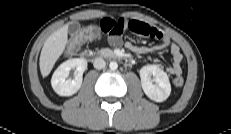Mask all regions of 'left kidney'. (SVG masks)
I'll use <instances>...</instances> for the list:
<instances>
[{"label": "left kidney", "mask_w": 231, "mask_h": 134, "mask_svg": "<svg viewBox=\"0 0 231 134\" xmlns=\"http://www.w3.org/2000/svg\"><path fill=\"white\" fill-rule=\"evenodd\" d=\"M139 74L142 89L148 98L155 102H163L169 97L171 85L168 75L157 65H145Z\"/></svg>", "instance_id": "1"}]
</instances>
